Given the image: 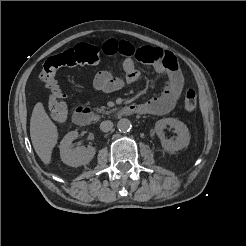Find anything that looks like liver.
<instances>
[{
  "instance_id": "obj_1",
  "label": "liver",
  "mask_w": 246,
  "mask_h": 246,
  "mask_svg": "<svg viewBox=\"0 0 246 246\" xmlns=\"http://www.w3.org/2000/svg\"><path fill=\"white\" fill-rule=\"evenodd\" d=\"M30 137L41 161L45 165L50 164L52 151L58 140V130L41 102L36 103L33 108L30 119Z\"/></svg>"
}]
</instances>
